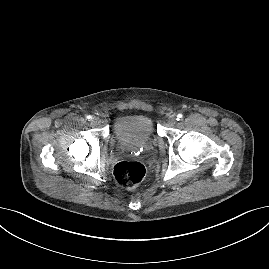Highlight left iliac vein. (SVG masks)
Wrapping results in <instances>:
<instances>
[{"mask_svg":"<svg viewBox=\"0 0 269 269\" xmlns=\"http://www.w3.org/2000/svg\"><path fill=\"white\" fill-rule=\"evenodd\" d=\"M176 122H177V118L175 116L169 117V119H168L169 126H173L174 124H176Z\"/></svg>","mask_w":269,"mask_h":269,"instance_id":"left-iliac-vein-1","label":"left iliac vein"}]
</instances>
